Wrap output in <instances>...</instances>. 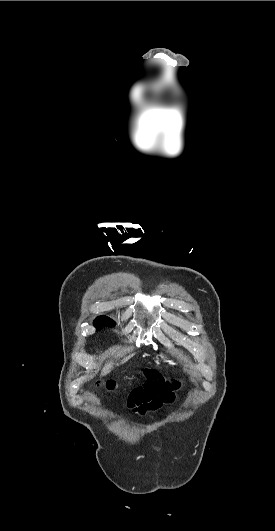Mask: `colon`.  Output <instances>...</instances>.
<instances>
[{
	"label": "colon",
	"mask_w": 275,
	"mask_h": 531,
	"mask_svg": "<svg viewBox=\"0 0 275 531\" xmlns=\"http://www.w3.org/2000/svg\"><path fill=\"white\" fill-rule=\"evenodd\" d=\"M77 389L80 393L82 394H87L91 391L92 389V384L89 380L87 379H82L78 382L77 384Z\"/></svg>",
	"instance_id": "colon-1"
}]
</instances>
